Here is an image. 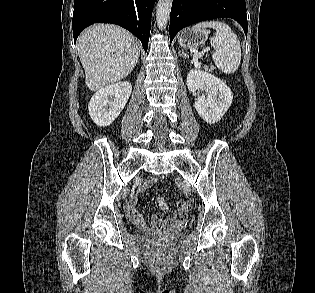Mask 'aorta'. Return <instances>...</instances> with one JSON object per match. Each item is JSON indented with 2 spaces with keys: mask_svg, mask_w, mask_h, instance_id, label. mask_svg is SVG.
<instances>
[{
  "mask_svg": "<svg viewBox=\"0 0 315 293\" xmlns=\"http://www.w3.org/2000/svg\"><path fill=\"white\" fill-rule=\"evenodd\" d=\"M172 0H158L156 7V20L159 29L166 27L170 17Z\"/></svg>",
  "mask_w": 315,
  "mask_h": 293,
  "instance_id": "aorta-1",
  "label": "aorta"
}]
</instances>
